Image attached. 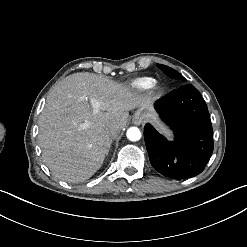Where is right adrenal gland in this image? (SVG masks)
Segmentation results:
<instances>
[{"instance_id": "1", "label": "right adrenal gland", "mask_w": 247, "mask_h": 247, "mask_svg": "<svg viewBox=\"0 0 247 247\" xmlns=\"http://www.w3.org/2000/svg\"><path fill=\"white\" fill-rule=\"evenodd\" d=\"M109 149H110V147H109ZM109 149H108V151L106 152V155H108Z\"/></svg>"}]
</instances>
